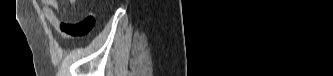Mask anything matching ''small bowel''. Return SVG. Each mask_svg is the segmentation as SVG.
I'll list each match as a JSON object with an SVG mask.
<instances>
[{"label": "small bowel", "mask_w": 333, "mask_h": 76, "mask_svg": "<svg viewBox=\"0 0 333 76\" xmlns=\"http://www.w3.org/2000/svg\"><path fill=\"white\" fill-rule=\"evenodd\" d=\"M43 14L45 19L58 30L64 37L69 39H86L87 34L95 25V18L92 13H88L81 22L63 21L57 16L58 2L56 0H43ZM71 5H77L79 0H69Z\"/></svg>", "instance_id": "obj_1"}]
</instances>
